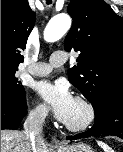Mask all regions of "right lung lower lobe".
Segmentation results:
<instances>
[{"label":"right lung lower lobe","instance_id":"right-lung-lower-lobe-1","mask_svg":"<svg viewBox=\"0 0 123 152\" xmlns=\"http://www.w3.org/2000/svg\"><path fill=\"white\" fill-rule=\"evenodd\" d=\"M26 114V98L18 102L1 100V129L16 130Z\"/></svg>","mask_w":123,"mask_h":152}]
</instances>
